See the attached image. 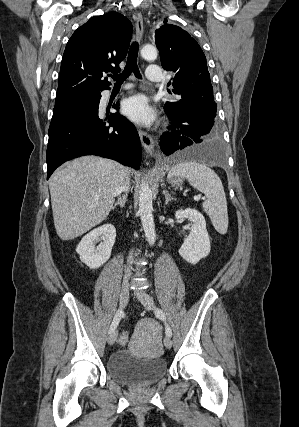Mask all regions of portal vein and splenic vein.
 I'll return each instance as SVG.
<instances>
[{"label": "portal vein and splenic vein", "instance_id": "obj_1", "mask_svg": "<svg viewBox=\"0 0 299 427\" xmlns=\"http://www.w3.org/2000/svg\"><path fill=\"white\" fill-rule=\"evenodd\" d=\"M200 196H194V200H196V201H198V200H200Z\"/></svg>", "mask_w": 299, "mask_h": 427}]
</instances>
